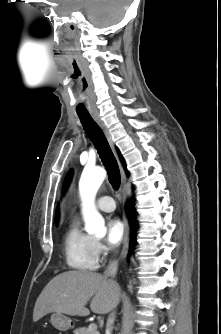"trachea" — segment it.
Segmentation results:
<instances>
[{
	"label": "trachea",
	"mask_w": 221,
	"mask_h": 334,
	"mask_svg": "<svg viewBox=\"0 0 221 334\" xmlns=\"http://www.w3.org/2000/svg\"><path fill=\"white\" fill-rule=\"evenodd\" d=\"M79 118L108 172L110 184L114 189H118L121 183L120 170L103 131L90 114L79 115Z\"/></svg>",
	"instance_id": "trachea-1"
}]
</instances>
